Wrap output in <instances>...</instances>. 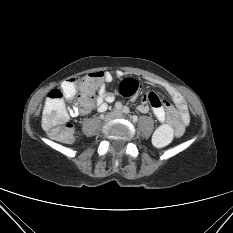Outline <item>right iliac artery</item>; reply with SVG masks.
<instances>
[{
	"mask_svg": "<svg viewBox=\"0 0 233 233\" xmlns=\"http://www.w3.org/2000/svg\"><path fill=\"white\" fill-rule=\"evenodd\" d=\"M115 107H116L117 109H120V108H122V104H121L120 102H117L116 105H115Z\"/></svg>",
	"mask_w": 233,
	"mask_h": 233,
	"instance_id": "right-iliac-artery-1",
	"label": "right iliac artery"
}]
</instances>
